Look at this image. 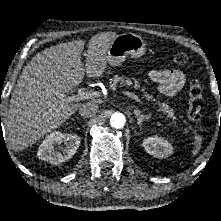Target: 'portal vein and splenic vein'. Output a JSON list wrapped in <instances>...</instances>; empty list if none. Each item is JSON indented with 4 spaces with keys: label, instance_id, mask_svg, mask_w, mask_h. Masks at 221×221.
<instances>
[{
    "label": "portal vein and splenic vein",
    "instance_id": "18ae733b",
    "mask_svg": "<svg viewBox=\"0 0 221 221\" xmlns=\"http://www.w3.org/2000/svg\"><path fill=\"white\" fill-rule=\"evenodd\" d=\"M120 93L128 96L129 98L134 99L135 101L139 102L140 104H144L143 101L134 93L128 91V90H124L121 89L119 90ZM100 96V92L98 91H83L81 89L78 90L77 94L72 95V96H63L65 97V100L67 102H75V101H80V100H84V99H90L93 97H99Z\"/></svg>",
    "mask_w": 221,
    "mask_h": 221
}]
</instances>
